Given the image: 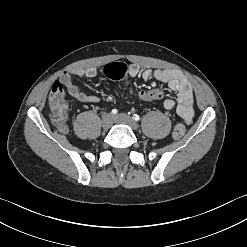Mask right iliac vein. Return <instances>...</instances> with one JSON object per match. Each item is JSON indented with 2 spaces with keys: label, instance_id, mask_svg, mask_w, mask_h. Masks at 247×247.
<instances>
[{
  "label": "right iliac vein",
  "instance_id": "obj_1",
  "mask_svg": "<svg viewBox=\"0 0 247 247\" xmlns=\"http://www.w3.org/2000/svg\"><path fill=\"white\" fill-rule=\"evenodd\" d=\"M113 124V116L110 113H106L102 116V121H101V125L102 128L105 130H108L111 128Z\"/></svg>",
  "mask_w": 247,
  "mask_h": 247
}]
</instances>
